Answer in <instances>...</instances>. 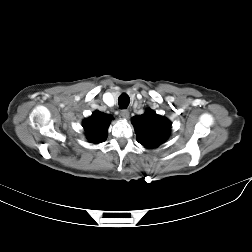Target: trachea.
I'll return each instance as SVG.
<instances>
[{
  "mask_svg": "<svg viewBox=\"0 0 252 252\" xmlns=\"http://www.w3.org/2000/svg\"><path fill=\"white\" fill-rule=\"evenodd\" d=\"M130 99L127 94H121L118 99V104L120 108H127L129 105Z\"/></svg>",
  "mask_w": 252,
  "mask_h": 252,
  "instance_id": "1",
  "label": "trachea"
}]
</instances>
